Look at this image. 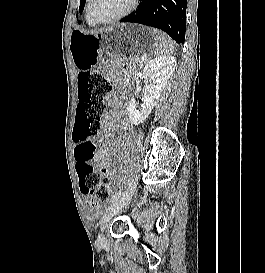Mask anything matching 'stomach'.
I'll return each mask as SVG.
<instances>
[{
  "instance_id": "0dacf381",
  "label": "stomach",
  "mask_w": 265,
  "mask_h": 273,
  "mask_svg": "<svg viewBox=\"0 0 265 273\" xmlns=\"http://www.w3.org/2000/svg\"><path fill=\"white\" fill-rule=\"evenodd\" d=\"M161 45L157 30H149V25H107V30H97L91 34L75 30L70 37V53L78 69H89L99 64H133L139 56H154V51ZM114 49L115 51H103ZM129 49V51H117ZM104 56V59H100Z\"/></svg>"
}]
</instances>
